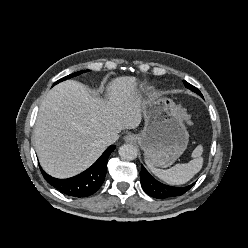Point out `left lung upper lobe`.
<instances>
[{
  "label": "left lung upper lobe",
  "mask_w": 248,
  "mask_h": 248,
  "mask_svg": "<svg viewBox=\"0 0 248 248\" xmlns=\"http://www.w3.org/2000/svg\"><path fill=\"white\" fill-rule=\"evenodd\" d=\"M183 82H184V85H185L186 88H188V89H190L191 91H193V92L199 94L200 96H202L201 92H200L196 87H194L193 85L189 84V83L186 82V81H183ZM202 97H203V96H202Z\"/></svg>",
  "instance_id": "obj_1"
}]
</instances>
